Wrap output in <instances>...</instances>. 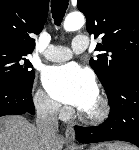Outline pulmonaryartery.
I'll use <instances>...</instances> for the list:
<instances>
[{
  "instance_id": "obj_1",
  "label": "pulmonary artery",
  "mask_w": 139,
  "mask_h": 150,
  "mask_svg": "<svg viewBox=\"0 0 139 150\" xmlns=\"http://www.w3.org/2000/svg\"><path fill=\"white\" fill-rule=\"evenodd\" d=\"M88 45V38L84 35H78L74 38L71 48L51 45L44 53V56L49 61L63 62L71 59L73 54H79L85 51Z\"/></svg>"
}]
</instances>
